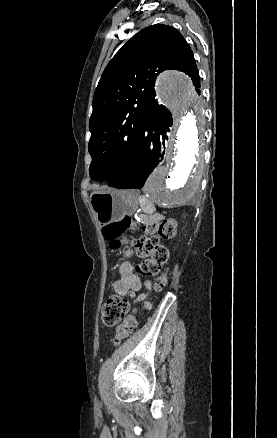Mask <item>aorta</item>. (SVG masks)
<instances>
[{"instance_id": "obj_1", "label": "aorta", "mask_w": 277, "mask_h": 438, "mask_svg": "<svg viewBox=\"0 0 277 438\" xmlns=\"http://www.w3.org/2000/svg\"><path fill=\"white\" fill-rule=\"evenodd\" d=\"M157 95L173 113L174 126L165 163L153 171L144 189L157 204L170 208L191 199L199 188L204 115L183 73H164L158 80Z\"/></svg>"}]
</instances>
